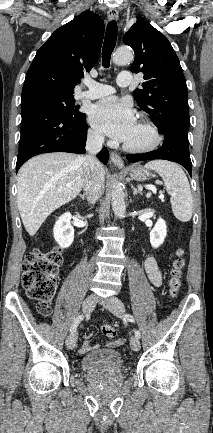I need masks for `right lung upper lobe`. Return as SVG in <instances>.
Instances as JSON below:
<instances>
[{
  "mask_svg": "<svg viewBox=\"0 0 213 433\" xmlns=\"http://www.w3.org/2000/svg\"><path fill=\"white\" fill-rule=\"evenodd\" d=\"M102 19L86 11L53 32L27 71L22 95L50 92L73 95L74 87L99 58Z\"/></svg>",
  "mask_w": 213,
  "mask_h": 433,
  "instance_id": "1",
  "label": "right lung upper lobe"
}]
</instances>
